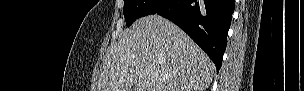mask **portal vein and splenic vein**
<instances>
[{
  "mask_svg": "<svg viewBox=\"0 0 304 91\" xmlns=\"http://www.w3.org/2000/svg\"><path fill=\"white\" fill-rule=\"evenodd\" d=\"M148 74H151L150 70H148Z\"/></svg>",
  "mask_w": 304,
  "mask_h": 91,
  "instance_id": "obj_1",
  "label": "portal vein and splenic vein"
}]
</instances>
